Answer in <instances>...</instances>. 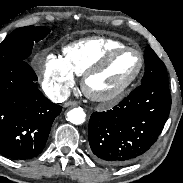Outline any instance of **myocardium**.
<instances>
[{"label":"myocardium","mask_w":183,"mask_h":183,"mask_svg":"<svg viewBox=\"0 0 183 183\" xmlns=\"http://www.w3.org/2000/svg\"><path fill=\"white\" fill-rule=\"evenodd\" d=\"M126 51L135 52L139 56L140 63H139L138 70L136 71L134 76L124 86H122L121 88L109 94H98L93 92L88 86L89 80L93 76L107 69L108 66L111 64V62L113 61V59L118 54ZM144 66H145V58H144V54L140 49L131 47V46H126V45L116 47L110 50L109 52H107L98 62H96L94 65H92L90 68H88L84 72L81 79L82 92L85 94L87 98L95 102L107 103V102L120 100L126 95V93L134 86V84L140 78L143 72Z\"/></svg>","instance_id":"myocardium-1"}]
</instances>
